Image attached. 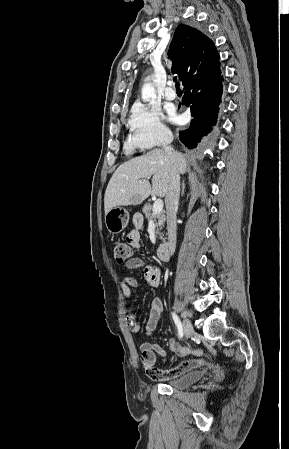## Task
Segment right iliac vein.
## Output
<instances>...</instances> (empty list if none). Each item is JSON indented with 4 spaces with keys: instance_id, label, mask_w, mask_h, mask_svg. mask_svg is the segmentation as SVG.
Returning <instances> with one entry per match:
<instances>
[{
    "instance_id": "63e3f726",
    "label": "right iliac vein",
    "mask_w": 289,
    "mask_h": 449,
    "mask_svg": "<svg viewBox=\"0 0 289 449\" xmlns=\"http://www.w3.org/2000/svg\"><path fill=\"white\" fill-rule=\"evenodd\" d=\"M183 328H184V333L187 338L190 337L194 332L191 322L185 316H184V320H183Z\"/></svg>"
}]
</instances>
